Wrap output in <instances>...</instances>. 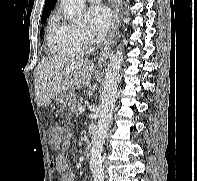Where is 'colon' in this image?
Here are the masks:
<instances>
[{"label":"colon","instance_id":"obj_1","mask_svg":"<svg viewBox=\"0 0 197 181\" xmlns=\"http://www.w3.org/2000/svg\"><path fill=\"white\" fill-rule=\"evenodd\" d=\"M48 136L51 142V145L58 149L61 146V132L60 129L57 126H50L48 128Z\"/></svg>","mask_w":197,"mask_h":181}]
</instances>
